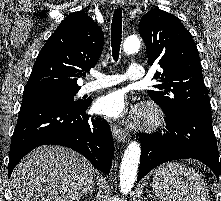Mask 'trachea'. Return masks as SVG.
<instances>
[{
    "label": "trachea",
    "mask_w": 221,
    "mask_h": 201,
    "mask_svg": "<svg viewBox=\"0 0 221 201\" xmlns=\"http://www.w3.org/2000/svg\"><path fill=\"white\" fill-rule=\"evenodd\" d=\"M122 41V11L115 10L111 24V46L112 55L115 61L118 60L120 45Z\"/></svg>",
    "instance_id": "3493384b"
}]
</instances>
